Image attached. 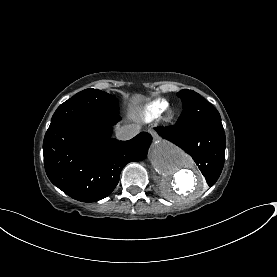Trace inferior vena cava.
I'll use <instances>...</instances> for the list:
<instances>
[{
    "label": "inferior vena cava",
    "mask_w": 277,
    "mask_h": 277,
    "mask_svg": "<svg viewBox=\"0 0 277 277\" xmlns=\"http://www.w3.org/2000/svg\"><path fill=\"white\" fill-rule=\"evenodd\" d=\"M141 126L138 124H131L119 127L116 129V138L118 140H130L140 133Z\"/></svg>",
    "instance_id": "obj_1"
}]
</instances>
